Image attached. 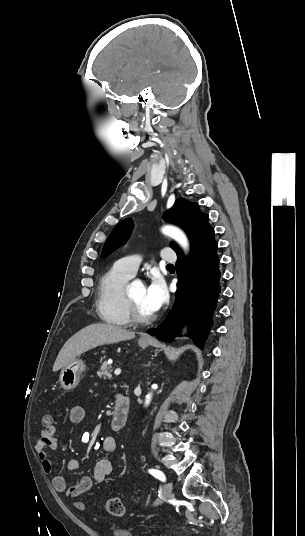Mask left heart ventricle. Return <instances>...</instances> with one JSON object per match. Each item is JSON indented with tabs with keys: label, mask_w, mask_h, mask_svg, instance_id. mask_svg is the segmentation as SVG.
<instances>
[{
	"label": "left heart ventricle",
	"mask_w": 305,
	"mask_h": 536,
	"mask_svg": "<svg viewBox=\"0 0 305 536\" xmlns=\"http://www.w3.org/2000/svg\"><path fill=\"white\" fill-rule=\"evenodd\" d=\"M130 298L133 304L144 314H151L152 312L146 307L144 296L145 288L142 285H137L128 290Z\"/></svg>",
	"instance_id": "b2bd125f"
}]
</instances>
